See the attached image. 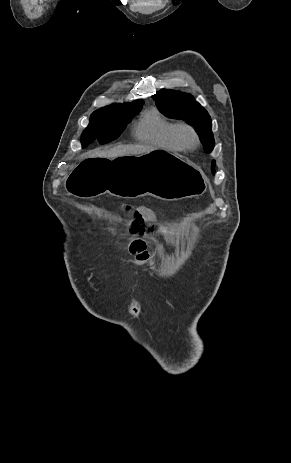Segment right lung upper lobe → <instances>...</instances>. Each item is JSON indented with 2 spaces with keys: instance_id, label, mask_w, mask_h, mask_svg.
Wrapping results in <instances>:
<instances>
[{
  "instance_id": "obj_1",
  "label": "right lung upper lobe",
  "mask_w": 291,
  "mask_h": 463,
  "mask_svg": "<svg viewBox=\"0 0 291 463\" xmlns=\"http://www.w3.org/2000/svg\"><path fill=\"white\" fill-rule=\"evenodd\" d=\"M141 103H143L142 100H136V101H134L132 103L112 104L110 106H107V107H104V108H101V109H126V108H129V107L141 104Z\"/></svg>"
}]
</instances>
